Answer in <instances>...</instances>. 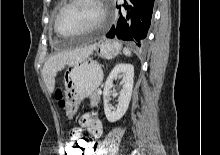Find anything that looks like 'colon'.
<instances>
[{
    "mask_svg": "<svg viewBox=\"0 0 220 155\" xmlns=\"http://www.w3.org/2000/svg\"><path fill=\"white\" fill-rule=\"evenodd\" d=\"M56 97L61 106H64L63 94L61 90L56 91ZM92 142L88 139H68L64 146L65 155H89Z\"/></svg>",
    "mask_w": 220,
    "mask_h": 155,
    "instance_id": "obj_1",
    "label": "colon"
}]
</instances>
